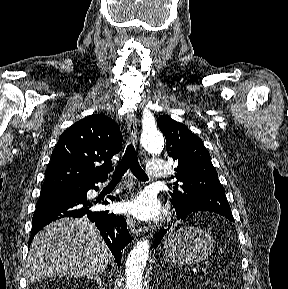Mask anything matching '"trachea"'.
Returning <instances> with one entry per match:
<instances>
[{
  "mask_svg": "<svg viewBox=\"0 0 288 289\" xmlns=\"http://www.w3.org/2000/svg\"><path fill=\"white\" fill-rule=\"evenodd\" d=\"M130 169L131 172L141 180H147L148 176L144 172V170L141 168L138 158H137V153L132 144H129L126 148V151L124 153V156L122 160L119 162L117 167L115 168V171L112 175V180L113 181H118L122 178L124 173Z\"/></svg>",
  "mask_w": 288,
  "mask_h": 289,
  "instance_id": "3493384b",
  "label": "trachea"
}]
</instances>
